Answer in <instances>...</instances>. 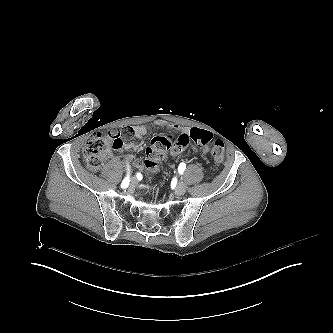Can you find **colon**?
<instances>
[{
	"mask_svg": "<svg viewBox=\"0 0 333 333\" xmlns=\"http://www.w3.org/2000/svg\"><path fill=\"white\" fill-rule=\"evenodd\" d=\"M185 133L178 137L174 143V136L170 133H164L154 136L146 148V159L143 165L151 172H157L162 167V161L166 152L176 154L185 150L187 144L192 140L196 149L205 151L211 155L214 161L223 165L224 163V145L220 139L216 138L215 131H202L193 126H186ZM131 136L129 129L124 128L120 131L113 129L109 132L102 130L94 133L84 146V156L88 166L91 169L99 168L103 161L112 152L122 145V141Z\"/></svg>",
	"mask_w": 333,
	"mask_h": 333,
	"instance_id": "obj_1",
	"label": "colon"
}]
</instances>
